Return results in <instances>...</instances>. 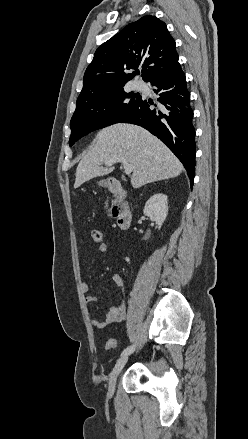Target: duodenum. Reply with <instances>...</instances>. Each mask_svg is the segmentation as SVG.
<instances>
[{"mask_svg":"<svg viewBox=\"0 0 248 439\" xmlns=\"http://www.w3.org/2000/svg\"><path fill=\"white\" fill-rule=\"evenodd\" d=\"M108 190L116 197L112 210L116 223L120 229L126 230L130 227L133 220L132 211L127 203V193L121 182L117 179L109 180Z\"/></svg>","mask_w":248,"mask_h":439,"instance_id":"410a0bca","label":"duodenum"}]
</instances>
